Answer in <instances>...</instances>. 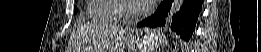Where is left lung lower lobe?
<instances>
[{
    "label": "left lung lower lobe",
    "mask_w": 261,
    "mask_h": 52,
    "mask_svg": "<svg viewBox=\"0 0 261 52\" xmlns=\"http://www.w3.org/2000/svg\"><path fill=\"white\" fill-rule=\"evenodd\" d=\"M173 0H163L156 12L147 19L139 22L138 27H158L165 25V18L171 8ZM203 0H185L180 11L177 12L168 26L184 41H189L202 10Z\"/></svg>",
    "instance_id": "0a47b994"
}]
</instances>
